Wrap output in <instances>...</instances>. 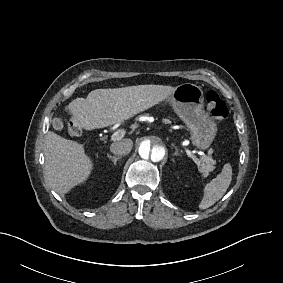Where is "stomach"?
Segmentation results:
<instances>
[{"mask_svg": "<svg viewBox=\"0 0 283 283\" xmlns=\"http://www.w3.org/2000/svg\"><path fill=\"white\" fill-rule=\"evenodd\" d=\"M168 100L188 127L193 146L202 151L209 149L217 135L218 125L205 108L202 88L192 83L181 84Z\"/></svg>", "mask_w": 283, "mask_h": 283, "instance_id": "0dacf381", "label": "stomach"}]
</instances>
